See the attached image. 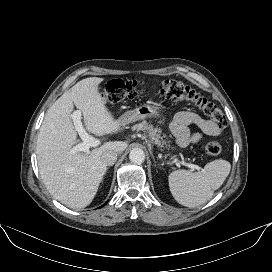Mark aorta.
I'll list each match as a JSON object with an SVG mask.
<instances>
[{
  "instance_id": "1",
  "label": "aorta",
  "mask_w": 272,
  "mask_h": 272,
  "mask_svg": "<svg viewBox=\"0 0 272 272\" xmlns=\"http://www.w3.org/2000/svg\"><path fill=\"white\" fill-rule=\"evenodd\" d=\"M129 159L132 163L141 164L145 160V153L140 148H134L129 153Z\"/></svg>"
}]
</instances>
